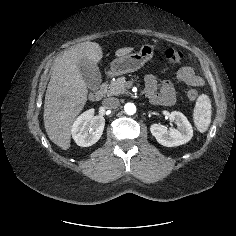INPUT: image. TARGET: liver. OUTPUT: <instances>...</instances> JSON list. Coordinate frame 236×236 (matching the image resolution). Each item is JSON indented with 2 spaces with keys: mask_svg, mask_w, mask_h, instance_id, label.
Wrapping results in <instances>:
<instances>
[{
  "mask_svg": "<svg viewBox=\"0 0 236 236\" xmlns=\"http://www.w3.org/2000/svg\"><path fill=\"white\" fill-rule=\"evenodd\" d=\"M133 50L132 47L120 48L115 51V56H125ZM102 57L101 46L87 41L65 50L52 66L43 119L49 139L63 150L70 148L72 123L87 101V85L80 74L78 62L86 58L96 64Z\"/></svg>",
  "mask_w": 236,
  "mask_h": 236,
  "instance_id": "6515ba94",
  "label": "liver"
}]
</instances>
